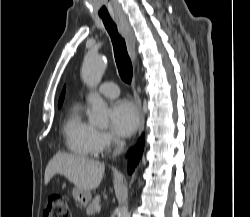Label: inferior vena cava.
<instances>
[{
  "instance_id": "1",
  "label": "inferior vena cava",
  "mask_w": 250,
  "mask_h": 217,
  "mask_svg": "<svg viewBox=\"0 0 250 217\" xmlns=\"http://www.w3.org/2000/svg\"><path fill=\"white\" fill-rule=\"evenodd\" d=\"M117 143V149L114 151V155L116 156L117 154H120V152L123 150L125 146V142L123 140L117 139L115 141Z\"/></svg>"
}]
</instances>
